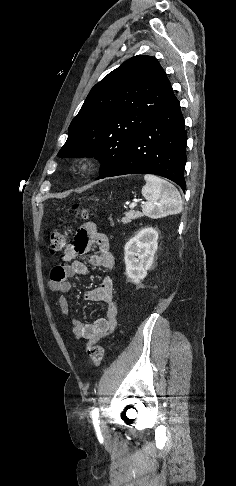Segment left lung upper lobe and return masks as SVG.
<instances>
[{
  "instance_id": "left-lung-upper-lobe-1",
  "label": "left lung upper lobe",
  "mask_w": 236,
  "mask_h": 486,
  "mask_svg": "<svg viewBox=\"0 0 236 486\" xmlns=\"http://www.w3.org/2000/svg\"><path fill=\"white\" fill-rule=\"evenodd\" d=\"M174 95L157 59L138 55L97 83L68 129L59 157H95L106 176Z\"/></svg>"
}]
</instances>
